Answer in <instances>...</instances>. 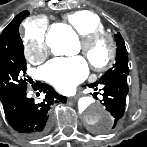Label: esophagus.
<instances>
[{"instance_id": "1", "label": "esophagus", "mask_w": 147, "mask_h": 147, "mask_svg": "<svg viewBox=\"0 0 147 147\" xmlns=\"http://www.w3.org/2000/svg\"><path fill=\"white\" fill-rule=\"evenodd\" d=\"M68 100L69 101H74V100H76V97H69Z\"/></svg>"}]
</instances>
